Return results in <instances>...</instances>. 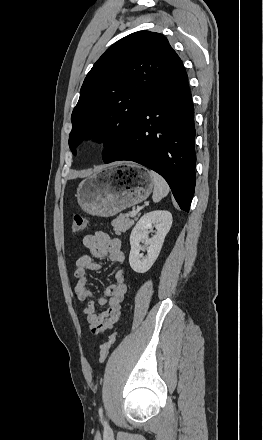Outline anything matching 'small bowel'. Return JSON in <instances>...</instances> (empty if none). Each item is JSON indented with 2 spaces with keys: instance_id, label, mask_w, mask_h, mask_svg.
Instances as JSON below:
<instances>
[{
  "instance_id": "1",
  "label": "small bowel",
  "mask_w": 263,
  "mask_h": 440,
  "mask_svg": "<svg viewBox=\"0 0 263 440\" xmlns=\"http://www.w3.org/2000/svg\"><path fill=\"white\" fill-rule=\"evenodd\" d=\"M83 246L89 255H83L76 261L74 272V292L79 301L88 300L82 309L90 330L94 334H101L117 323L121 314V303L127 292L126 275L124 271L125 254L122 242L118 238H111L104 232H96L83 238ZM108 258L110 262L118 264L119 268L114 273V283L109 285L104 296L94 300V294L88 286V273L100 271L102 265L96 259ZM108 305L103 312H97L96 305Z\"/></svg>"
}]
</instances>
